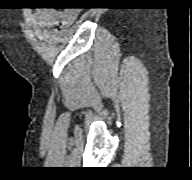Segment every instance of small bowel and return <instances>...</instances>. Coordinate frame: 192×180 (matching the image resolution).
<instances>
[{"mask_svg": "<svg viewBox=\"0 0 192 180\" xmlns=\"http://www.w3.org/2000/svg\"><path fill=\"white\" fill-rule=\"evenodd\" d=\"M73 20L70 13L57 10H38L33 15V23L38 27L53 25H69Z\"/></svg>", "mask_w": 192, "mask_h": 180, "instance_id": "c3829d8e", "label": "small bowel"}]
</instances>
